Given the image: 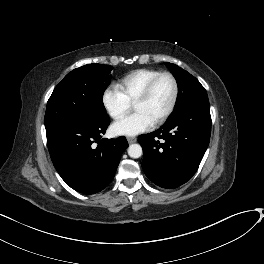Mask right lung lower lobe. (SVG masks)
<instances>
[{"mask_svg":"<svg viewBox=\"0 0 264 264\" xmlns=\"http://www.w3.org/2000/svg\"><path fill=\"white\" fill-rule=\"evenodd\" d=\"M109 124L110 119L106 117L45 126L54 167L65 183L80 193L103 190L114 178L120 157L128 147L124 136L100 140Z\"/></svg>","mask_w":264,"mask_h":264,"instance_id":"right-lung-lower-lobe-1","label":"right lung lower lobe"}]
</instances>
